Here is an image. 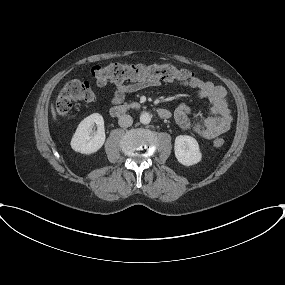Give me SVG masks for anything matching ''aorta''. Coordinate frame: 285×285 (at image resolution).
Here are the masks:
<instances>
[{
  "mask_svg": "<svg viewBox=\"0 0 285 285\" xmlns=\"http://www.w3.org/2000/svg\"><path fill=\"white\" fill-rule=\"evenodd\" d=\"M151 118H152V116L149 113H147V112L142 113L140 115V122L142 124H149L151 122Z\"/></svg>",
  "mask_w": 285,
  "mask_h": 285,
  "instance_id": "1",
  "label": "aorta"
}]
</instances>
